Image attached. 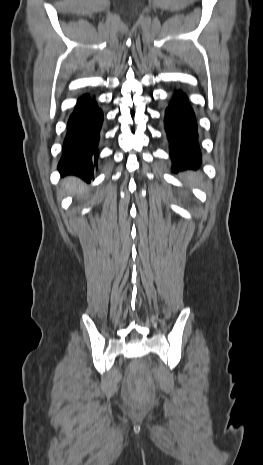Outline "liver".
Masks as SVG:
<instances>
[{"label": "liver", "instance_id": "obj_1", "mask_svg": "<svg viewBox=\"0 0 263 465\" xmlns=\"http://www.w3.org/2000/svg\"><path fill=\"white\" fill-rule=\"evenodd\" d=\"M66 189L70 190L71 193H78L84 190L85 185L75 177L68 178L63 185Z\"/></svg>", "mask_w": 263, "mask_h": 465}]
</instances>
